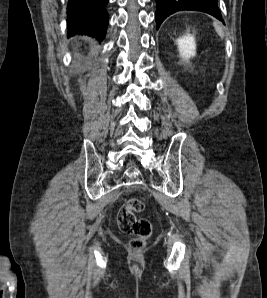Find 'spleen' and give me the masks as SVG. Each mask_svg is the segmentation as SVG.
Here are the masks:
<instances>
[{"mask_svg": "<svg viewBox=\"0 0 267 298\" xmlns=\"http://www.w3.org/2000/svg\"><path fill=\"white\" fill-rule=\"evenodd\" d=\"M213 26L215 28V31L217 32V34L223 38L224 37V32H223V29L222 27L220 26V24L217 22V21H214L213 22Z\"/></svg>", "mask_w": 267, "mask_h": 298, "instance_id": "3e777b00", "label": "spleen"}]
</instances>
